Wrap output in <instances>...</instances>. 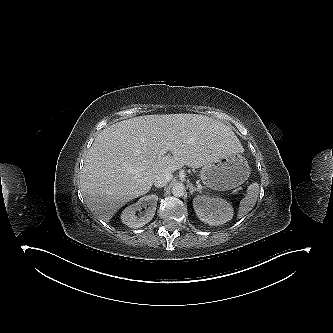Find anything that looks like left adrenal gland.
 Here are the masks:
<instances>
[{
	"label": "left adrenal gland",
	"mask_w": 333,
	"mask_h": 333,
	"mask_svg": "<svg viewBox=\"0 0 333 333\" xmlns=\"http://www.w3.org/2000/svg\"><path fill=\"white\" fill-rule=\"evenodd\" d=\"M189 191H190V194L192 195L195 191L199 192V193H202L201 190H199L198 188L194 187L192 184H190L189 186Z\"/></svg>",
	"instance_id": "obj_1"
}]
</instances>
